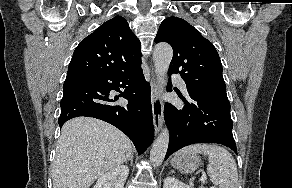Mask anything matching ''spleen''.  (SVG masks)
Segmentation results:
<instances>
[{
	"label": "spleen",
	"mask_w": 292,
	"mask_h": 188,
	"mask_svg": "<svg viewBox=\"0 0 292 188\" xmlns=\"http://www.w3.org/2000/svg\"><path fill=\"white\" fill-rule=\"evenodd\" d=\"M197 153L208 156L207 172L217 188H238L236 162L225 148L216 144H193L184 147L175 156Z\"/></svg>",
	"instance_id": "spleen-1"
}]
</instances>
